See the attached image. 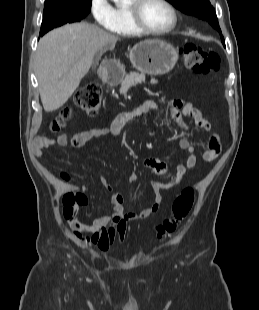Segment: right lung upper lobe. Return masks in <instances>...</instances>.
I'll return each instance as SVG.
<instances>
[{
  "label": "right lung upper lobe",
  "mask_w": 259,
  "mask_h": 310,
  "mask_svg": "<svg viewBox=\"0 0 259 310\" xmlns=\"http://www.w3.org/2000/svg\"><path fill=\"white\" fill-rule=\"evenodd\" d=\"M59 1H80V0H45V3H54Z\"/></svg>",
  "instance_id": "right-lung-upper-lobe-1"
}]
</instances>
